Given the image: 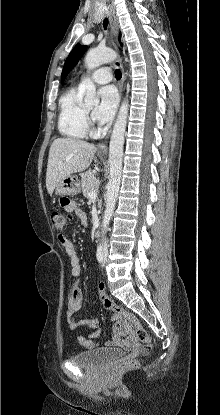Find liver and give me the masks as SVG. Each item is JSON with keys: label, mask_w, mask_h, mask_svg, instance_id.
Instances as JSON below:
<instances>
[{"label": "liver", "mask_w": 220, "mask_h": 415, "mask_svg": "<svg viewBox=\"0 0 220 415\" xmlns=\"http://www.w3.org/2000/svg\"><path fill=\"white\" fill-rule=\"evenodd\" d=\"M97 148L90 143L72 138L55 139L50 147L46 187L52 195L57 184L73 173L85 171L92 162Z\"/></svg>", "instance_id": "6515ba94"}]
</instances>
